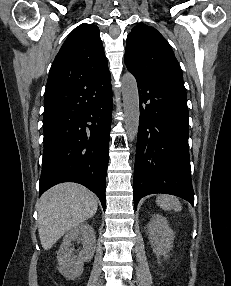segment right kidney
<instances>
[{"label":"right kidney","instance_id":"obj_1","mask_svg":"<svg viewBox=\"0 0 231 286\" xmlns=\"http://www.w3.org/2000/svg\"><path fill=\"white\" fill-rule=\"evenodd\" d=\"M81 238L83 248L78 255H73L71 243ZM96 237L94 229L89 224H80L71 229L63 238L57 253L60 273L67 279H75L83 273L84 262H89L94 256Z\"/></svg>","mask_w":231,"mask_h":286}]
</instances>
